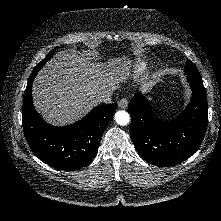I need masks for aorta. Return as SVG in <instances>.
<instances>
[{"label":"aorta","mask_w":221,"mask_h":221,"mask_svg":"<svg viewBox=\"0 0 221 221\" xmlns=\"http://www.w3.org/2000/svg\"><path fill=\"white\" fill-rule=\"evenodd\" d=\"M115 121L121 126H125L130 122V115L124 110L117 111L115 113Z\"/></svg>","instance_id":"762f6f07"}]
</instances>
